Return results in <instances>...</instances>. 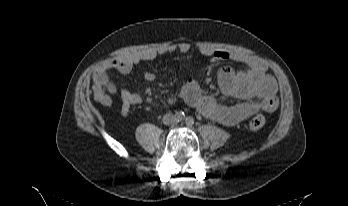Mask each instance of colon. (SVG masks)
I'll use <instances>...</instances> for the list:
<instances>
[{
	"label": "colon",
	"mask_w": 348,
	"mask_h": 206,
	"mask_svg": "<svg viewBox=\"0 0 348 206\" xmlns=\"http://www.w3.org/2000/svg\"><path fill=\"white\" fill-rule=\"evenodd\" d=\"M96 79L101 84H106L108 81V75L105 70H100L96 74ZM266 124V117L262 114L253 115L248 123V126L251 130L256 131L264 127Z\"/></svg>",
	"instance_id": "colon-1"
}]
</instances>
